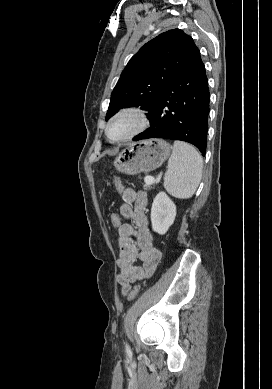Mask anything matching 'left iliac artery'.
<instances>
[{"mask_svg": "<svg viewBox=\"0 0 272 389\" xmlns=\"http://www.w3.org/2000/svg\"><path fill=\"white\" fill-rule=\"evenodd\" d=\"M125 350H126V352H127L128 354H130V353H131V350H130V347H129V345H128V344H126V346H125Z\"/></svg>", "mask_w": 272, "mask_h": 389, "instance_id": "obj_1", "label": "left iliac artery"}]
</instances>
